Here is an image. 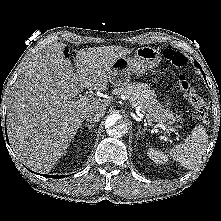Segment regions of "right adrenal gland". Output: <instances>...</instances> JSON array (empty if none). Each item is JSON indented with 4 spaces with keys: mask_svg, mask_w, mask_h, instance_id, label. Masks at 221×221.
Segmentation results:
<instances>
[{
    "mask_svg": "<svg viewBox=\"0 0 221 221\" xmlns=\"http://www.w3.org/2000/svg\"><path fill=\"white\" fill-rule=\"evenodd\" d=\"M95 125L94 124H89V123H85L84 125L81 126V133H82V129L83 127H87L88 130H91Z\"/></svg>",
    "mask_w": 221,
    "mask_h": 221,
    "instance_id": "1",
    "label": "right adrenal gland"
}]
</instances>
